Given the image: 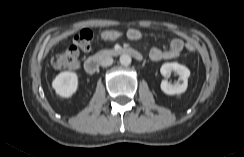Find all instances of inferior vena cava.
<instances>
[{
	"mask_svg": "<svg viewBox=\"0 0 244 157\" xmlns=\"http://www.w3.org/2000/svg\"><path fill=\"white\" fill-rule=\"evenodd\" d=\"M100 64L102 67L110 66L113 64V58L111 56H106V57L102 58Z\"/></svg>",
	"mask_w": 244,
	"mask_h": 157,
	"instance_id": "obj_1",
	"label": "inferior vena cava"
}]
</instances>
